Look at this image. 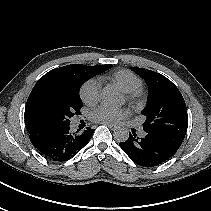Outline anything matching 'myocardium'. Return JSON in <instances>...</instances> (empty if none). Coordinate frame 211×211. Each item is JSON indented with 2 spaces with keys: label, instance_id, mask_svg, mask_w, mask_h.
<instances>
[{
  "label": "myocardium",
  "instance_id": "myocardium-1",
  "mask_svg": "<svg viewBox=\"0 0 211 211\" xmlns=\"http://www.w3.org/2000/svg\"><path fill=\"white\" fill-rule=\"evenodd\" d=\"M126 97L129 102L133 104H138L143 99V92L141 89H137L134 91L126 92Z\"/></svg>",
  "mask_w": 211,
  "mask_h": 211
}]
</instances>
